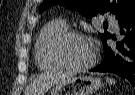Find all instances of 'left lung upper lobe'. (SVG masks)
I'll return each mask as SVG.
<instances>
[{
    "label": "left lung upper lobe",
    "instance_id": "obj_1",
    "mask_svg": "<svg viewBox=\"0 0 135 95\" xmlns=\"http://www.w3.org/2000/svg\"><path fill=\"white\" fill-rule=\"evenodd\" d=\"M56 3L76 9L88 18L98 13H110L118 22L135 12V0H45L40 12ZM109 34L108 32L100 34L101 40Z\"/></svg>",
    "mask_w": 135,
    "mask_h": 95
}]
</instances>
